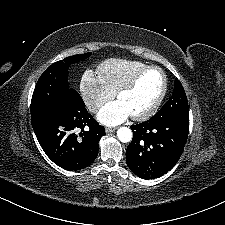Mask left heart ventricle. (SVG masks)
<instances>
[{
    "label": "left heart ventricle",
    "mask_w": 225,
    "mask_h": 225,
    "mask_svg": "<svg viewBox=\"0 0 225 225\" xmlns=\"http://www.w3.org/2000/svg\"><path fill=\"white\" fill-rule=\"evenodd\" d=\"M162 88V76L156 70H149L142 75L135 87L118 100L127 109L130 116L144 113L153 104Z\"/></svg>",
    "instance_id": "obj_1"
}]
</instances>
